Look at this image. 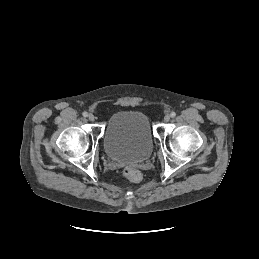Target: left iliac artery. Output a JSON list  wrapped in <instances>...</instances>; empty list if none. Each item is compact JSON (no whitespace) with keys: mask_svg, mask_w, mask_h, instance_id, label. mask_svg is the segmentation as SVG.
I'll return each mask as SVG.
<instances>
[{"mask_svg":"<svg viewBox=\"0 0 259 259\" xmlns=\"http://www.w3.org/2000/svg\"><path fill=\"white\" fill-rule=\"evenodd\" d=\"M170 116L173 118L176 116V113L175 112H171Z\"/></svg>","mask_w":259,"mask_h":259,"instance_id":"44dca946","label":"left iliac artery"}]
</instances>
